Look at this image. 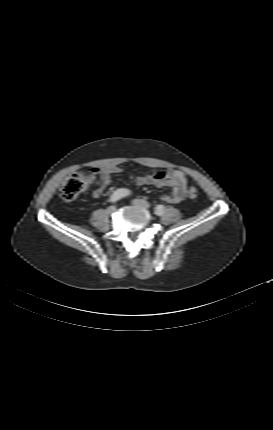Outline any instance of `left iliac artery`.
<instances>
[{"label":"left iliac artery","instance_id":"left-iliac-artery-1","mask_svg":"<svg viewBox=\"0 0 273 430\" xmlns=\"http://www.w3.org/2000/svg\"><path fill=\"white\" fill-rule=\"evenodd\" d=\"M165 207L163 205H158L155 208V214L161 216L164 213Z\"/></svg>","mask_w":273,"mask_h":430}]
</instances>
